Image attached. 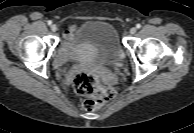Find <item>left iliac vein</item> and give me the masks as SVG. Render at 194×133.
Returning <instances> with one entry per match:
<instances>
[{
	"instance_id": "4c4485c4",
	"label": "left iliac vein",
	"mask_w": 194,
	"mask_h": 133,
	"mask_svg": "<svg viewBox=\"0 0 194 133\" xmlns=\"http://www.w3.org/2000/svg\"><path fill=\"white\" fill-rule=\"evenodd\" d=\"M137 31V29L135 27L131 28L130 29V34H135Z\"/></svg>"
}]
</instances>
